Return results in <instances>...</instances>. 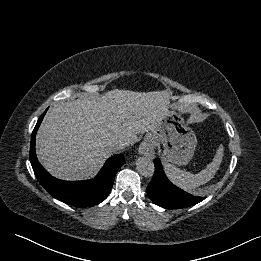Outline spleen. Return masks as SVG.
Here are the masks:
<instances>
[{
  "label": "spleen",
  "instance_id": "1",
  "mask_svg": "<svg viewBox=\"0 0 261 261\" xmlns=\"http://www.w3.org/2000/svg\"><path fill=\"white\" fill-rule=\"evenodd\" d=\"M224 155V146L221 144L211 163L197 174L181 170L170 163H165L164 168L168 178L178 187L191 190L211 180L219 169Z\"/></svg>",
  "mask_w": 261,
  "mask_h": 261
}]
</instances>
